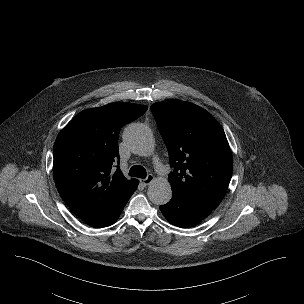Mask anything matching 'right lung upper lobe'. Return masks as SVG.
<instances>
[{
  "mask_svg": "<svg viewBox=\"0 0 304 304\" xmlns=\"http://www.w3.org/2000/svg\"><path fill=\"white\" fill-rule=\"evenodd\" d=\"M147 106L110 103L77 114L59 133L53 150L57 189L69 208L88 223L100 218L137 180L119 165L118 136ZM119 164V161H118Z\"/></svg>",
  "mask_w": 304,
  "mask_h": 304,
  "instance_id": "right-lung-upper-lobe-1",
  "label": "right lung upper lobe"
}]
</instances>
